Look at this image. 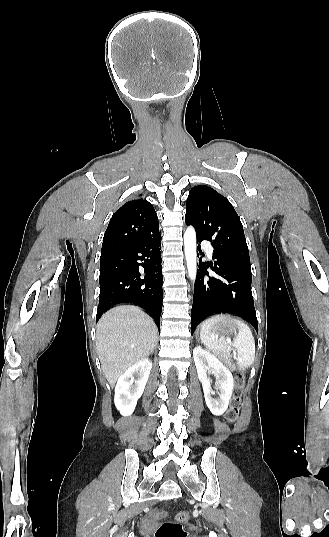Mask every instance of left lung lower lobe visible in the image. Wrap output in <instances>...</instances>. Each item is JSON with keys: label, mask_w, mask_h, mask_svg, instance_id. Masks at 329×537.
<instances>
[{"label": "left lung lower lobe", "mask_w": 329, "mask_h": 537, "mask_svg": "<svg viewBox=\"0 0 329 537\" xmlns=\"http://www.w3.org/2000/svg\"><path fill=\"white\" fill-rule=\"evenodd\" d=\"M197 242L201 240L197 239ZM198 251L201 254L200 245ZM213 259H216L214 266L199 260L191 310V333L202 320L217 313L236 314L257 329L250 265L216 251ZM208 267L217 276H210Z\"/></svg>", "instance_id": "left-lung-lower-lobe-1"}]
</instances>
